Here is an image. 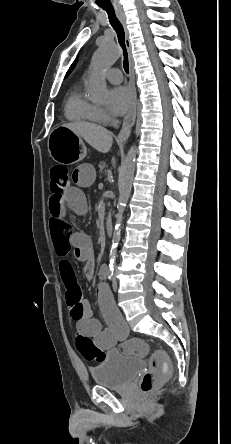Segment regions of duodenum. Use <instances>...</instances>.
<instances>
[{
	"label": "duodenum",
	"mask_w": 231,
	"mask_h": 444,
	"mask_svg": "<svg viewBox=\"0 0 231 444\" xmlns=\"http://www.w3.org/2000/svg\"><path fill=\"white\" fill-rule=\"evenodd\" d=\"M113 230H114L113 220H112V218H108L105 222L106 234L108 236H111L113 234ZM103 275H105V273Z\"/></svg>",
	"instance_id": "1"
}]
</instances>
